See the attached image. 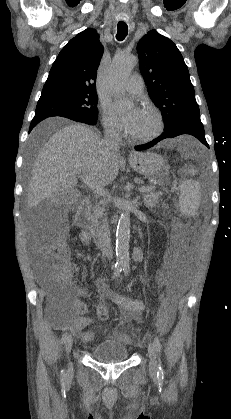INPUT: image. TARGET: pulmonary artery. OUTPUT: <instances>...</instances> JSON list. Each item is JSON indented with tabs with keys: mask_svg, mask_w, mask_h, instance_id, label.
<instances>
[{
	"mask_svg": "<svg viewBox=\"0 0 231 419\" xmlns=\"http://www.w3.org/2000/svg\"><path fill=\"white\" fill-rule=\"evenodd\" d=\"M124 87L129 93L139 94L144 89V82L139 74H134L125 82Z\"/></svg>",
	"mask_w": 231,
	"mask_h": 419,
	"instance_id": "pulmonary-artery-1",
	"label": "pulmonary artery"
}]
</instances>
